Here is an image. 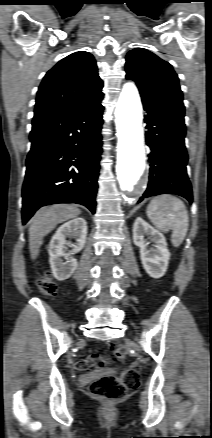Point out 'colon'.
Wrapping results in <instances>:
<instances>
[{
  "label": "colon",
  "instance_id": "colon-1",
  "mask_svg": "<svg viewBox=\"0 0 212 438\" xmlns=\"http://www.w3.org/2000/svg\"><path fill=\"white\" fill-rule=\"evenodd\" d=\"M40 291L45 295H53L56 292V283L46 274L38 282ZM113 356L127 363V351L125 347L119 342H113L110 345ZM80 368H88L93 370H100L105 366V361L99 354L80 360L77 363ZM140 383V375L138 371L132 367L127 368L120 376L103 375L100 378L91 382L89 386L90 393L96 398L105 401H114L123 398L129 390L136 389Z\"/></svg>",
  "mask_w": 212,
  "mask_h": 438
}]
</instances>
